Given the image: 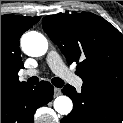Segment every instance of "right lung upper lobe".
I'll list each match as a JSON object with an SVG mask.
<instances>
[{
    "mask_svg": "<svg viewBox=\"0 0 123 123\" xmlns=\"http://www.w3.org/2000/svg\"><path fill=\"white\" fill-rule=\"evenodd\" d=\"M39 20L40 17L1 16V93H14L29 86L18 79V71L23 68L19 39Z\"/></svg>",
    "mask_w": 123,
    "mask_h": 123,
    "instance_id": "cb5924a9",
    "label": "right lung upper lobe"
}]
</instances>
